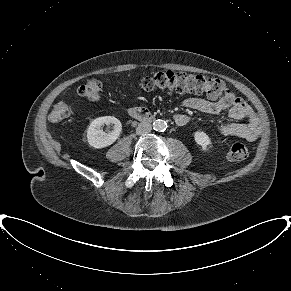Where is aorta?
<instances>
[{"label": "aorta", "instance_id": "obj_1", "mask_svg": "<svg viewBox=\"0 0 291 291\" xmlns=\"http://www.w3.org/2000/svg\"><path fill=\"white\" fill-rule=\"evenodd\" d=\"M167 128V123L164 120L158 119L153 122V129L155 131L163 132Z\"/></svg>", "mask_w": 291, "mask_h": 291}]
</instances>
